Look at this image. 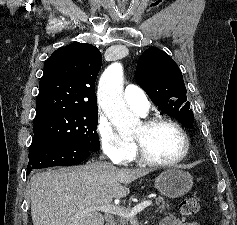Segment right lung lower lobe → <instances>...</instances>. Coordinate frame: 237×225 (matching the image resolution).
Returning <instances> with one entry per match:
<instances>
[{"label":"right lung lower lobe","mask_w":237,"mask_h":225,"mask_svg":"<svg viewBox=\"0 0 237 225\" xmlns=\"http://www.w3.org/2000/svg\"><path fill=\"white\" fill-rule=\"evenodd\" d=\"M90 152L64 141L34 137L29 150L27 173L38 168L79 164L90 156Z\"/></svg>","instance_id":"obj_1"}]
</instances>
